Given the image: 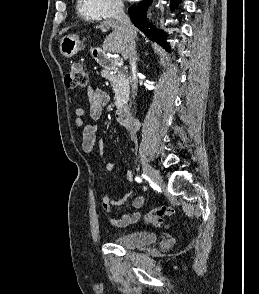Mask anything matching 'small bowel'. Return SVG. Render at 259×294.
I'll list each match as a JSON object with an SVG mask.
<instances>
[{"label":"small bowel","mask_w":259,"mask_h":294,"mask_svg":"<svg viewBox=\"0 0 259 294\" xmlns=\"http://www.w3.org/2000/svg\"><path fill=\"white\" fill-rule=\"evenodd\" d=\"M87 96L89 103V115L93 120H98L102 115L103 108L109 101V96L101 89L92 88L88 89ZM75 116V124L82 130V149L86 154L93 155L97 141L98 127L96 125L85 122V110L83 108H76ZM106 168L112 171L114 170L115 165L113 163H107ZM124 180L126 182L132 181L131 172H126ZM125 200L126 197H121L119 199H112L108 195L102 197L101 207L107 214H109L108 223L110 225L121 228L133 224L139 220L140 208L143 206L145 201L142 195H139L133 199L131 210L123 214L121 217H116L111 214L112 208L117 205H122Z\"/></svg>","instance_id":"obj_1"}]
</instances>
